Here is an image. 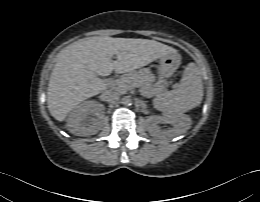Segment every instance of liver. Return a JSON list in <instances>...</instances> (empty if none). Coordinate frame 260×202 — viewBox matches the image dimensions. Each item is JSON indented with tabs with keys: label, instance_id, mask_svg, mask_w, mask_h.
<instances>
[{
	"label": "liver",
	"instance_id": "liver-1",
	"mask_svg": "<svg viewBox=\"0 0 260 202\" xmlns=\"http://www.w3.org/2000/svg\"><path fill=\"white\" fill-rule=\"evenodd\" d=\"M175 49L155 40L135 38L89 37L63 49L51 73L47 103L50 114L58 121L82 101L106 88L95 77L125 73L146 66ZM113 55L117 60H112Z\"/></svg>",
	"mask_w": 260,
	"mask_h": 202
}]
</instances>
